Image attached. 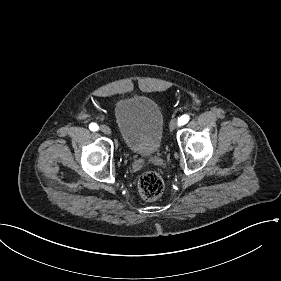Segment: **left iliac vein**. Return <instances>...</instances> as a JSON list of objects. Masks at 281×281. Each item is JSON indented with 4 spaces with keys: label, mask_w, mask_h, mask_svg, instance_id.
I'll list each match as a JSON object with an SVG mask.
<instances>
[{
    "label": "left iliac vein",
    "mask_w": 281,
    "mask_h": 281,
    "mask_svg": "<svg viewBox=\"0 0 281 281\" xmlns=\"http://www.w3.org/2000/svg\"><path fill=\"white\" fill-rule=\"evenodd\" d=\"M177 126H178V121L176 119L171 120V122L169 124L170 131H173L174 129H176Z\"/></svg>",
    "instance_id": "left-iliac-vein-1"
}]
</instances>
